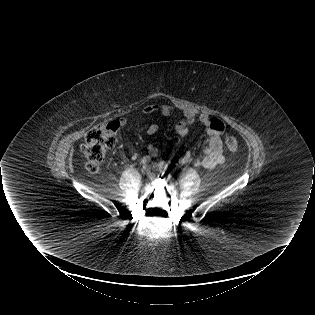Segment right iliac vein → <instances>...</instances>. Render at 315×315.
I'll return each instance as SVG.
<instances>
[{
  "instance_id": "right-iliac-vein-1",
  "label": "right iliac vein",
  "mask_w": 315,
  "mask_h": 315,
  "mask_svg": "<svg viewBox=\"0 0 315 315\" xmlns=\"http://www.w3.org/2000/svg\"><path fill=\"white\" fill-rule=\"evenodd\" d=\"M150 172H151V168H150L149 166L144 165V166L142 167V173H143V174L148 175V174H150Z\"/></svg>"
}]
</instances>
